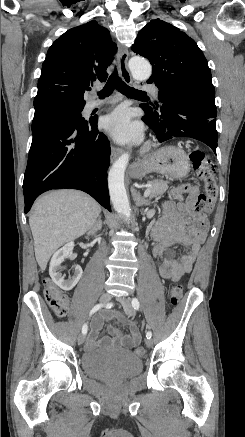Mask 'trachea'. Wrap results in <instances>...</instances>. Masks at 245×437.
<instances>
[{"label": "trachea", "instance_id": "1", "mask_svg": "<svg viewBox=\"0 0 245 437\" xmlns=\"http://www.w3.org/2000/svg\"><path fill=\"white\" fill-rule=\"evenodd\" d=\"M114 88H116L118 91H120L122 94L128 96V97H136L141 95H146V92L136 90L132 87H129L127 84H125L122 79L118 76L117 69L115 68L113 73L108 78L104 88L98 92V96L100 98L108 97L112 94L114 91Z\"/></svg>", "mask_w": 245, "mask_h": 437}]
</instances>
